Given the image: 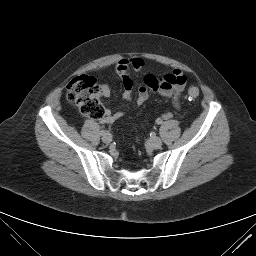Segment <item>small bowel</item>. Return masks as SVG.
<instances>
[{
	"label": "small bowel",
	"mask_w": 256,
	"mask_h": 256,
	"mask_svg": "<svg viewBox=\"0 0 256 256\" xmlns=\"http://www.w3.org/2000/svg\"><path fill=\"white\" fill-rule=\"evenodd\" d=\"M145 62L141 58H125L120 60L116 65V73L122 79L123 83V98L126 101L132 99L133 81L129 76V70L133 69L136 72H141L144 69ZM186 86V77L180 70H173L162 78H157L154 75L148 74L144 77V84L138 88L137 104L142 105L149 97V93L158 92L159 95L172 100L175 107L179 106V97ZM111 94V88L108 84L101 85V95L105 98ZM123 113H113L107 110L105 116L101 119L102 123L110 124L119 120Z\"/></svg>",
	"instance_id": "obj_1"
}]
</instances>
